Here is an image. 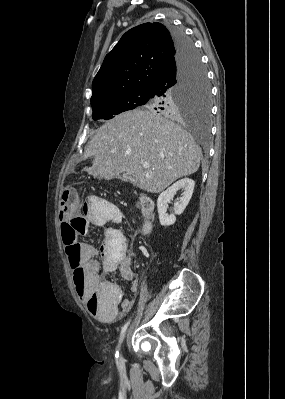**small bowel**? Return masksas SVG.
I'll list each match as a JSON object with an SVG mask.
<instances>
[{
	"label": "small bowel",
	"instance_id": "obj_1",
	"mask_svg": "<svg viewBox=\"0 0 285 399\" xmlns=\"http://www.w3.org/2000/svg\"><path fill=\"white\" fill-rule=\"evenodd\" d=\"M110 207L100 197L92 196L82 203V217L86 225L80 229V233L87 232L89 227H106L110 224L112 227L106 229L105 243L99 248L93 244L82 242L80 246L79 264L83 266L84 278L83 287L80 295L91 314L102 321H112L127 314L133 301L122 298L121 288L106 277H102L95 258L99 257L103 264V274L108 275L117 263V269L121 276L131 283V291L136 292L138 282L132 272V259L124 256L121 259L116 258V250L120 242V231L115 227L118 222V215L112 216V221H108ZM97 301L100 305L97 306ZM95 303V306H94Z\"/></svg>",
	"mask_w": 285,
	"mask_h": 399
}]
</instances>
